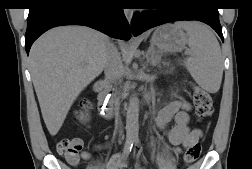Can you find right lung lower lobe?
<instances>
[{
  "label": "right lung lower lobe",
  "mask_w": 252,
  "mask_h": 169,
  "mask_svg": "<svg viewBox=\"0 0 252 169\" xmlns=\"http://www.w3.org/2000/svg\"><path fill=\"white\" fill-rule=\"evenodd\" d=\"M60 25H83L114 38H131L119 0H36L29 8L26 52L41 34Z\"/></svg>",
  "instance_id": "1"
}]
</instances>
